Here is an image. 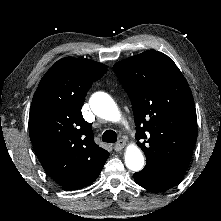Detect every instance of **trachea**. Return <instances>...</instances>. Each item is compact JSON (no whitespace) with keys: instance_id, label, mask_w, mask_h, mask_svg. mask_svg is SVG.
<instances>
[{"instance_id":"1","label":"trachea","mask_w":221,"mask_h":221,"mask_svg":"<svg viewBox=\"0 0 221 221\" xmlns=\"http://www.w3.org/2000/svg\"><path fill=\"white\" fill-rule=\"evenodd\" d=\"M102 141L107 143H115L117 141V134L113 130H106L102 135Z\"/></svg>"}]
</instances>
